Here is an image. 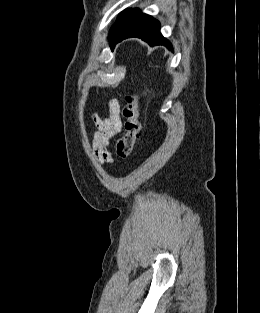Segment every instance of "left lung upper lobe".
<instances>
[{
    "label": "left lung upper lobe",
    "instance_id": "obj_1",
    "mask_svg": "<svg viewBox=\"0 0 260 313\" xmlns=\"http://www.w3.org/2000/svg\"><path fill=\"white\" fill-rule=\"evenodd\" d=\"M141 14L142 13L139 9H126L118 15L109 36V40L111 41L110 47L112 50L124 32L140 17Z\"/></svg>",
    "mask_w": 260,
    "mask_h": 313
}]
</instances>
